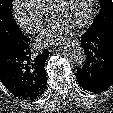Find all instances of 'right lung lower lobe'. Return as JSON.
<instances>
[{
  "label": "right lung lower lobe",
  "mask_w": 113,
  "mask_h": 113,
  "mask_svg": "<svg viewBox=\"0 0 113 113\" xmlns=\"http://www.w3.org/2000/svg\"><path fill=\"white\" fill-rule=\"evenodd\" d=\"M48 55L46 49L33 54L25 35L12 39L0 46V81L20 99H36L47 85L44 66Z\"/></svg>",
  "instance_id": "1"
}]
</instances>
